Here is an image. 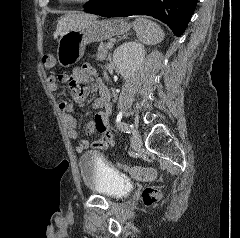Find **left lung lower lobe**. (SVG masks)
I'll return each mask as SVG.
<instances>
[{
  "instance_id": "0a47b994",
  "label": "left lung lower lobe",
  "mask_w": 240,
  "mask_h": 238,
  "mask_svg": "<svg viewBox=\"0 0 240 238\" xmlns=\"http://www.w3.org/2000/svg\"><path fill=\"white\" fill-rule=\"evenodd\" d=\"M198 0H100L86 12L103 17L148 15L166 23L177 37L185 31Z\"/></svg>"
}]
</instances>
